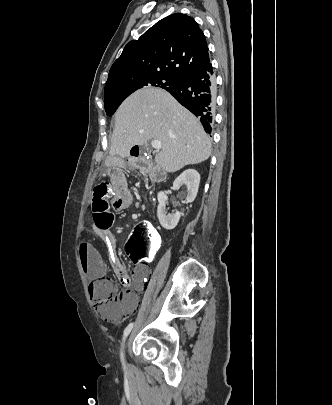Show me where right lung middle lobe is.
Returning <instances> with one entry per match:
<instances>
[{"label": "right lung middle lobe", "instance_id": "right-lung-middle-lobe-1", "mask_svg": "<svg viewBox=\"0 0 332 405\" xmlns=\"http://www.w3.org/2000/svg\"><path fill=\"white\" fill-rule=\"evenodd\" d=\"M181 77L168 74H135L117 78L105 87L104 106L108 116L134 91L143 87H160L165 90L175 87Z\"/></svg>", "mask_w": 332, "mask_h": 405}]
</instances>
